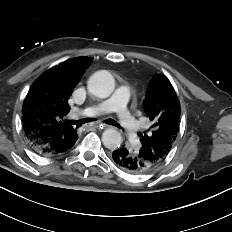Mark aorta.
<instances>
[{
  "instance_id": "aorta-1",
  "label": "aorta",
  "mask_w": 232,
  "mask_h": 232,
  "mask_svg": "<svg viewBox=\"0 0 232 232\" xmlns=\"http://www.w3.org/2000/svg\"><path fill=\"white\" fill-rule=\"evenodd\" d=\"M115 82L113 76L105 70L93 74L88 81V90L99 98H107L114 91ZM104 146L110 150L117 149L122 143V136L114 128L106 129L102 134Z\"/></svg>"
}]
</instances>
